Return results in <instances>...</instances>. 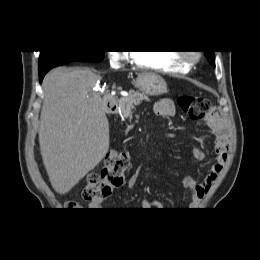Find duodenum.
Instances as JSON below:
<instances>
[{"label": "duodenum", "mask_w": 260, "mask_h": 260, "mask_svg": "<svg viewBox=\"0 0 260 260\" xmlns=\"http://www.w3.org/2000/svg\"><path fill=\"white\" fill-rule=\"evenodd\" d=\"M105 110L109 114H115L118 110L117 105L115 102L107 100L105 102Z\"/></svg>", "instance_id": "410a0bca"}]
</instances>
